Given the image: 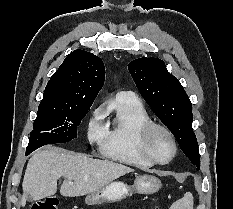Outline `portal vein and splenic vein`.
Returning <instances> with one entry per match:
<instances>
[{
  "mask_svg": "<svg viewBox=\"0 0 233 209\" xmlns=\"http://www.w3.org/2000/svg\"><path fill=\"white\" fill-rule=\"evenodd\" d=\"M69 183H70V184H73V182H71V181H70Z\"/></svg>",
  "mask_w": 233,
  "mask_h": 209,
  "instance_id": "portal-vein-and-splenic-vein-1",
  "label": "portal vein and splenic vein"
}]
</instances>
